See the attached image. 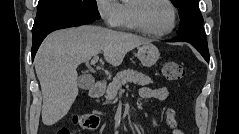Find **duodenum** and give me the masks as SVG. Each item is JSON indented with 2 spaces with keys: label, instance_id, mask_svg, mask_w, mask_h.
Masks as SVG:
<instances>
[{
  "label": "duodenum",
  "instance_id": "410a0bca",
  "mask_svg": "<svg viewBox=\"0 0 239 134\" xmlns=\"http://www.w3.org/2000/svg\"><path fill=\"white\" fill-rule=\"evenodd\" d=\"M104 90V82L101 79H97L94 85L90 88V96L98 98L102 95Z\"/></svg>",
  "mask_w": 239,
  "mask_h": 134
}]
</instances>
